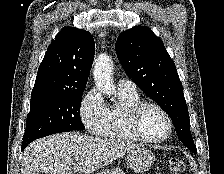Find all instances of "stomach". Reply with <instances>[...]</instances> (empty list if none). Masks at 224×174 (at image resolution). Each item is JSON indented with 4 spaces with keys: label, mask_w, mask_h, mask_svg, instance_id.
I'll use <instances>...</instances> for the list:
<instances>
[{
    "label": "stomach",
    "mask_w": 224,
    "mask_h": 174,
    "mask_svg": "<svg viewBox=\"0 0 224 174\" xmlns=\"http://www.w3.org/2000/svg\"><path fill=\"white\" fill-rule=\"evenodd\" d=\"M155 159L153 152L145 147L136 148L126 156L127 166L137 173H144L147 171L155 162ZM100 173L109 174L112 172L104 170Z\"/></svg>",
    "instance_id": "obj_1"
}]
</instances>
